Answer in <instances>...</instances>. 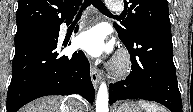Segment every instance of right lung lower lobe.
Returning a JSON list of instances; mask_svg holds the SVG:
<instances>
[{
	"mask_svg": "<svg viewBox=\"0 0 193 112\" xmlns=\"http://www.w3.org/2000/svg\"><path fill=\"white\" fill-rule=\"evenodd\" d=\"M60 24L15 45L7 112H17L26 103L47 95L78 93L90 103L94 101L95 90L84 53L78 51L68 57L56 51Z\"/></svg>",
	"mask_w": 193,
	"mask_h": 112,
	"instance_id": "98d812e1",
	"label": "right lung lower lobe"
}]
</instances>
